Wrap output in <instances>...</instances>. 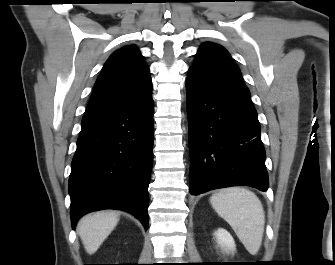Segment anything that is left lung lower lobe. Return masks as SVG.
Here are the masks:
<instances>
[{
	"label": "left lung lower lobe",
	"instance_id": "1",
	"mask_svg": "<svg viewBox=\"0 0 335 265\" xmlns=\"http://www.w3.org/2000/svg\"><path fill=\"white\" fill-rule=\"evenodd\" d=\"M186 99L190 193L241 185L267 191L265 149L249 93L190 68Z\"/></svg>",
	"mask_w": 335,
	"mask_h": 265
}]
</instances>
